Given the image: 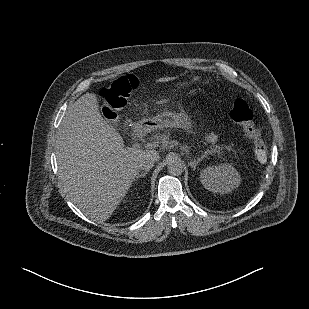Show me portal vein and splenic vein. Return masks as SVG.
<instances>
[{
	"mask_svg": "<svg viewBox=\"0 0 309 309\" xmlns=\"http://www.w3.org/2000/svg\"><path fill=\"white\" fill-rule=\"evenodd\" d=\"M159 142L153 141V142H148L147 144L144 145L145 148L147 149H153L157 147Z\"/></svg>",
	"mask_w": 309,
	"mask_h": 309,
	"instance_id": "portal-vein-and-splenic-vein-1",
	"label": "portal vein and splenic vein"
}]
</instances>
